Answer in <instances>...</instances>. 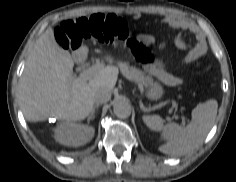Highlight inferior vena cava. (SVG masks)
Returning a JSON list of instances; mask_svg holds the SVG:
<instances>
[{
  "label": "inferior vena cava",
  "mask_w": 236,
  "mask_h": 182,
  "mask_svg": "<svg viewBox=\"0 0 236 182\" xmlns=\"http://www.w3.org/2000/svg\"><path fill=\"white\" fill-rule=\"evenodd\" d=\"M111 98V91L108 88H99L94 95L95 103H105Z\"/></svg>",
  "instance_id": "602c4592"
}]
</instances>
